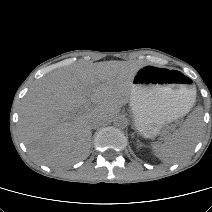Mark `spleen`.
<instances>
[{"label":"spleen","mask_w":212,"mask_h":212,"mask_svg":"<svg viewBox=\"0 0 212 212\" xmlns=\"http://www.w3.org/2000/svg\"><path fill=\"white\" fill-rule=\"evenodd\" d=\"M201 133V119L189 117L181 129L176 131L163 144H153L152 151L164 163H177L192 153Z\"/></svg>","instance_id":"obj_1"}]
</instances>
